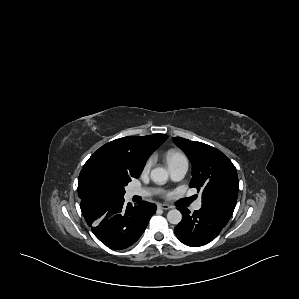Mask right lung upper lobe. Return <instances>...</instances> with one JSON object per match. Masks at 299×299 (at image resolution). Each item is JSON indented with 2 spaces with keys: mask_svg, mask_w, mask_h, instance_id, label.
<instances>
[{
  "mask_svg": "<svg viewBox=\"0 0 299 299\" xmlns=\"http://www.w3.org/2000/svg\"><path fill=\"white\" fill-rule=\"evenodd\" d=\"M167 138L168 136L164 134L142 137L128 136L103 145L94 154L104 156L121 170L138 178L148 157ZM78 195L81 200L91 197L82 193H78Z\"/></svg>",
  "mask_w": 299,
  "mask_h": 299,
  "instance_id": "cb5924a9",
  "label": "right lung upper lobe"
}]
</instances>
